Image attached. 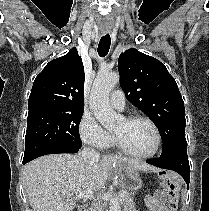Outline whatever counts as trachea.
I'll return each mask as SVG.
<instances>
[{"label": "trachea", "mask_w": 209, "mask_h": 211, "mask_svg": "<svg viewBox=\"0 0 209 211\" xmlns=\"http://www.w3.org/2000/svg\"><path fill=\"white\" fill-rule=\"evenodd\" d=\"M111 38L109 34L104 35L98 45V54L100 57H105L110 49Z\"/></svg>", "instance_id": "trachea-1"}]
</instances>
